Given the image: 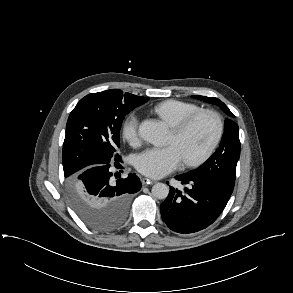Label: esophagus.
<instances>
[{
  "label": "esophagus",
  "mask_w": 293,
  "mask_h": 293,
  "mask_svg": "<svg viewBox=\"0 0 293 293\" xmlns=\"http://www.w3.org/2000/svg\"><path fill=\"white\" fill-rule=\"evenodd\" d=\"M142 182H143L144 185L156 183L155 180L150 179V178H144Z\"/></svg>",
  "instance_id": "34e87169"
}]
</instances>
